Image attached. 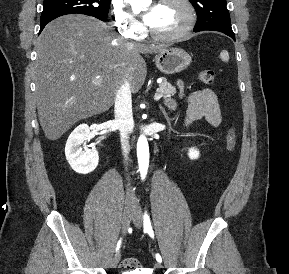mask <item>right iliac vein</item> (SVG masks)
<instances>
[{"label":"right iliac vein","mask_w":289,"mask_h":274,"mask_svg":"<svg viewBox=\"0 0 289 274\" xmlns=\"http://www.w3.org/2000/svg\"><path fill=\"white\" fill-rule=\"evenodd\" d=\"M133 216V209L130 205H127L124 209L123 216H122V232L125 234L129 228L131 219ZM121 258L120 252H117L110 261V267L115 268Z\"/></svg>","instance_id":"63e3f726"}]
</instances>
